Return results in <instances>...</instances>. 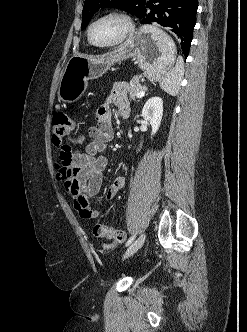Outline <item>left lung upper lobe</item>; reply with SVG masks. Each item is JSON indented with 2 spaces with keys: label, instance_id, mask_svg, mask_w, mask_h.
<instances>
[{
  "label": "left lung upper lobe",
  "instance_id": "obj_1",
  "mask_svg": "<svg viewBox=\"0 0 247 332\" xmlns=\"http://www.w3.org/2000/svg\"><path fill=\"white\" fill-rule=\"evenodd\" d=\"M146 4V0H85L82 12L81 30L85 29L97 10L113 7L135 14L138 18Z\"/></svg>",
  "mask_w": 247,
  "mask_h": 332
}]
</instances>
